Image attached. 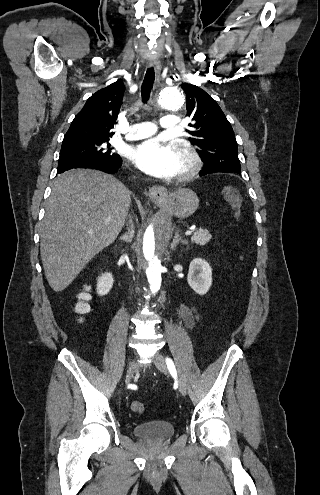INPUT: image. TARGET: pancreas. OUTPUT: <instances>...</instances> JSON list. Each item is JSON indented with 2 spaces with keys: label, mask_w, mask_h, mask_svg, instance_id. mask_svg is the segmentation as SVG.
<instances>
[{
  "label": "pancreas",
  "mask_w": 320,
  "mask_h": 495,
  "mask_svg": "<svg viewBox=\"0 0 320 495\" xmlns=\"http://www.w3.org/2000/svg\"><path fill=\"white\" fill-rule=\"evenodd\" d=\"M212 238L211 234L206 229H199L191 236V242H194L198 245L207 244Z\"/></svg>",
  "instance_id": "pancreas-1"
}]
</instances>
